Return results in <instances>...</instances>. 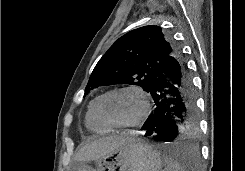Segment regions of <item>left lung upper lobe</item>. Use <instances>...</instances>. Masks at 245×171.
Returning <instances> with one entry per match:
<instances>
[{
  "mask_svg": "<svg viewBox=\"0 0 245 171\" xmlns=\"http://www.w3.org/2000/svg\"><path fill=\"white\" fill-rule=\"evenodd\" d=\"M177 49L170 35L159 26L134 29L116 40L102 56L84 95L99 86L114 84H135L149 92L166 59Z\"/></svg>",
  "mask_w": 245,
  "mask_h": 171,
  "instance_id": "1",
  "label": "left lung upper lobe"
}]
</instances>
